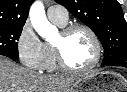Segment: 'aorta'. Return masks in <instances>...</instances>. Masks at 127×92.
<instances>
[{"instance_id":"obj_1","label":"aorta","mask_w":127,"mask_h":92,"mask_svg":"<svg viewBox=\"0 0 127 92\" xmlns=\"http://www.w3.org/2000/svg\"><path fill=\"white\" fill-rule=\"evenodd\" d=\"M29 18L35 31L44 39H49L51 34L56 31V27L48 21L44 6L40 1L32 4Z\"/></svg>"}]
</instances>
